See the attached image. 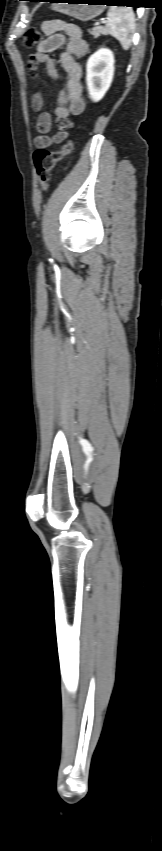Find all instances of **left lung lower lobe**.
<instances>
[{"label": "left lung lower lobe", "mask_w": 162, "mask_h": 851, "mask_svg": "<svg viewBox=\"0 0 162 851\" xmlns=\"http://www.w3.org/2000/svg\"><path fill=\"white\" fill-rule=\"evenodd\" d=\"M36 1H41V0H36ZM48 1L53 2L54 0H48ZM104 1H105L104 3H107V5H120V6L121 5L129 6V4H134V3L137 2L136 0H104Z\"/></svg>", "instance_id": "obj_1"}]
</instances>
